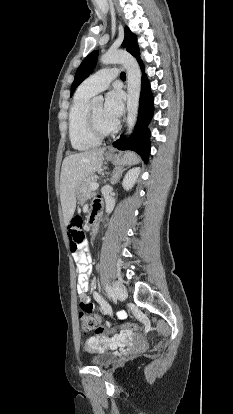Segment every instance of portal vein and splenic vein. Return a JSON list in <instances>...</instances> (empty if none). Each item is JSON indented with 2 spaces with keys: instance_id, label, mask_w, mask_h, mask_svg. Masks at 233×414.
<instances>
[{
  "instance_id": "obj_1",
  "label": "portal vein and splenic vein",
  "mask_w": 233,
  "mask_h": 414,
  "mask_svg": "<svg viewBox=\"0 0 233 414\" xmlns=\"http://www.w3.org/2000/svg\"><path fill=\"white\" fill-rule=\"evenodd\" d=\"M98 187H99V184L96 183V182L91 184V189L92 190H96V189H98Z\"/></svg>"
}]
</instances>
